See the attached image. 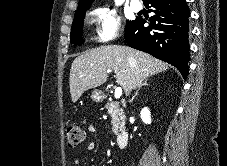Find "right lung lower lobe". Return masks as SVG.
I'll use <instances>...</instances> for the list:
<instances>
[{
	"instance_id": "right-lung-lower-lobe-1",
	"label": "right lung lower lobe",
	"mask_w": 227,
	"mask_h": 166,
	"mask_svg": "<svg viewBox=\"0 0 227 166\" xmlns=\"http://www.w3.org/2000/svg\"><path fill=\"white\" fill-rule=\"evenodd\" d=\"M155 13L150 20L137 18L125 33L128 46L149 53L188 75L190 11L185 0H146ZM149 26L144 27L145 23Z\"/></svg>"
}]
</instances>
